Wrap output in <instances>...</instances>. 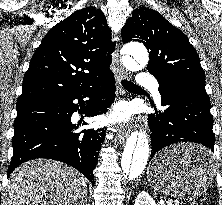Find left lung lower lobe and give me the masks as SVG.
Segmentation results:
<instances>
[{
	"instance_id": "0a47b994",
	"label": "left lung lower lobe",
	"mask_w": 222,
	"mask_h": 205,
	"mask_svg": "<svg viewBox=\"0 0 222 205\" xmlns=\"http://www.w3.org/2000/svg\"><path fill=\"white\" fill-rule=\"evenodd\" d=\"M161 105L165 109L149 115L151 155L166 146L179 142H195L206 146L203 152L189 154L185 161L200 165L211 164L214 151L210 99L206 92L171 81H159Z\"/></svg>"
}]
</instances>
